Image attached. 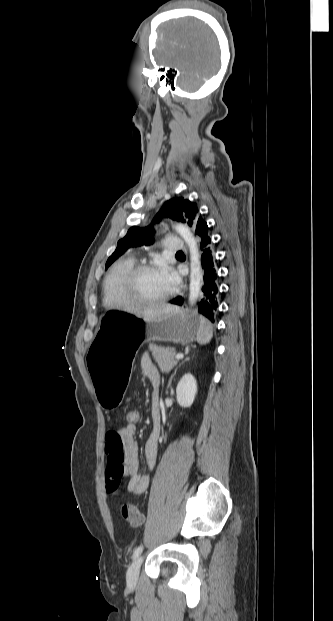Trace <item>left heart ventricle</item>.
Here are the masks:
<instances>
[{"label": "left heart ventricle", "instance_id": "b2bd125f", "mask_svg": "<svg viewBox=\"0 0 333 621\" xmlns=\"http://www.w3.org/2000/svg\"><path fill=\"white\" fill-rule=\"evenodd\" d=\"M171 290L163 275V270L148 271L140 274L133 285V292L144 299L163 297Z\"/></svg>", "mask_w": 333, "mask_h": 621}]
</instances>
